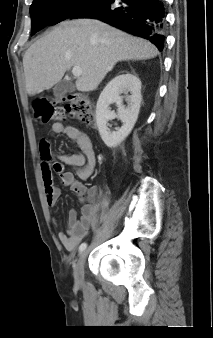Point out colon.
<instances>
[{"label": "colon", "instance_id": "5ec220e1", "mask_svg": "<svg viewBox=\"0 0 213 338\" xmlns=\"http://www.w3.org/2000/svg\"><path fill=\"white\" fill-rule=\"evenodd\" d=\"M32 113L43 124L52 120L61 121L65 113L78 118L85 125L94 123L92 102L82 93L69 94L61 99L36 96L32 101Z\"/></svg>", "mask_w": 213, "mask_h": 338}]
</instances>
